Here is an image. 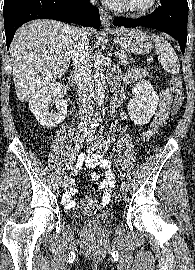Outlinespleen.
Returning a JSON list of instances; mask_svg holds the SVG:
<instances>
[{
    "mask_svg": "<svg viewBox=\"0 0 195 270\" xmlns=\"http://www.w3.org/2000/svg\"><path fill=\"white\" fill-rule=\"evenodd\" d=\"M152 38L155 42L158 60L162 64L164 70L171 74H177L180 70V63L171 44L163 37L156 34H152Z\"/></svg>",
    "mask_w": 195,
    "mask_h": 270,
    "instance_id": "obj_1",
    "label": "spleen"
}]
</instances>
